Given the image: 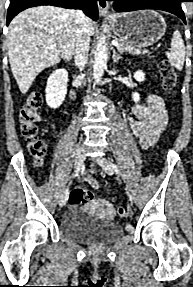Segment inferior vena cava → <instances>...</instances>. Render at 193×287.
<instances>
[{"mask_svg": "<svg viewBox=\"0 0 193 287\" xmlns=\"http://www.w3.org/2000/svg\"><path fill=\"white\" fill-rule=\"evenodd\" d=\"M75 21L77 28L74 47V59L77 68L82 70L88 61L90 45L89 18L85 16L82 11L78 10L75 12Z\"/></svg>", "mask_w": 193, "mask_h": 287, "instance_id": "1", "label": "inferior vena cava"}]
</instances>
